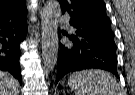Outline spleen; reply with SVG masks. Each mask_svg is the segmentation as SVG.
Segmentation results:
<instances>
[{
  "label": "spleen",
  "instance_id": "spleen-1",
  "mask_svg": "<svg viewBox=\"0 0 135 95\" xmlns=\"http://www.w3.org/2000/svg\"><path fill=\"white\" fill-rule=\"evenodd\" d=\"M68 85L75 95H121L116 80L102 70L74 72L68 79Z\"/></svg>",
  "mask_w": 135,
  "mask_h": 95
}]
</instances>
